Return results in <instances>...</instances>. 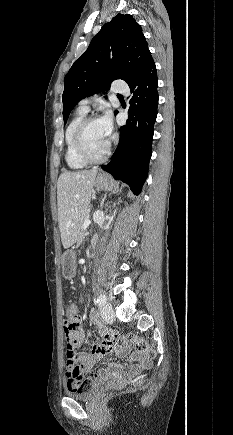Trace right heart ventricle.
Masks as SVG:
<instances>
[{"mask_svg":"<svg viewBox=\"0 0 233 435\" xmlns=\"http://www.w3.org/2000/svg\"><path fill=\"white\" fill-rule=\"evenodd\" d=\"M85 116L86 112L79 109L75 116L70 120L65 130L66 163L71 169L75 170L85 168L88 165V163L79 156L74 144V133L76 127Z\"/></svg>","mask_w":233,"mask_h":435,"instance_id":"obj_1","label":"right heart ventricle"}]
</instances>
